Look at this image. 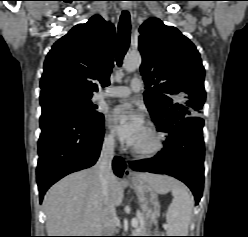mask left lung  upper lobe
Returning a JSON list of instances; mask_svg holds the SVG:
<instances>
[{
	"mask_svg": "<svg viewBox=\"0 0 248 237\" xmlns=\"http://www.w3.org/2000/svg\"><path fill=\"white\" fill-rule=\"evenodd\" d=\"M139 32L145 104L157 130L168 134L178 121L202 111L205 70L195 45L177 28L150 18Z\"/></svg>",
	"mask_w": 248,
	"mask_h": 237,
	"instance_id": "1",
	"label": "left lung upper lobe"
}]
</instances>
